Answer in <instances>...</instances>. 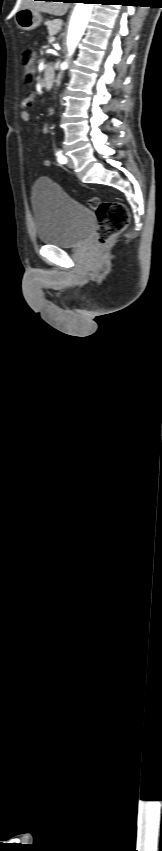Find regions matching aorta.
Masks as SVG:
<instances>
[{
    "mask_svg": "<svg viewBox=\"0 0 162 851\" xmlns=\"http://www.w3.org/2000/svg\"><path fill=\"white\" fill-rule=\"evenodd\" d=\"M92 9V3L76 4L70 20L67 36L68 56H71L74 53L75 48L86 29V26L92 13ZM66 68L67 62H63L61 64V71L65 70Z\"/></svg>",
    "mask_w": 162,
    "mask_h": 851,
    "instance_id": "obj_1",
    "label": "aorta"
}]
</instances>
